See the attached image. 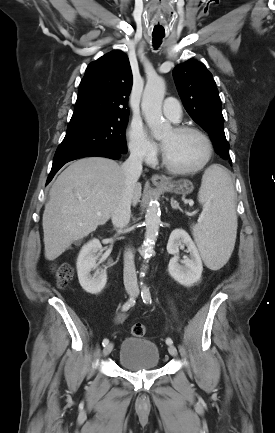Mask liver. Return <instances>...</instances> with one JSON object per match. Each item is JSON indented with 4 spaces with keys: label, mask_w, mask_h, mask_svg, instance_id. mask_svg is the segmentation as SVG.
Listing matches in <instances>:
<instances>
[{
    "label": "liver",
    "mask_w": 275,
    "mask_h": 433,
    "mask_svg": "<svg viewBox=\"0 0 275 433\" xmlns=\"http://www.w3.org/2000/svg\"><path fill=\"white\" fill-rule=\"evenodd\" d=\"M125 185L116 161L104 157L79 159L52 185L43 213L45 258L53 261L72 244L104 225L111 217ZM136 183L132 202L141 197Z\"/></svg>",
    "instance_id": "obj_1"
}]
</instances>
